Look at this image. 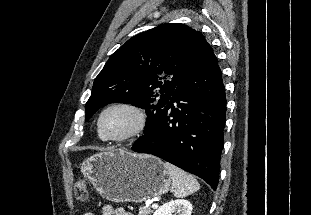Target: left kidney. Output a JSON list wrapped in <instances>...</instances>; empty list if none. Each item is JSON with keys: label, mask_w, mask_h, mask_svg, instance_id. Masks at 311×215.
I'll return each instance as SVG.
<instances>
[{"label": "left kidney", "mask_w": 311, "mask_h": 215, "mask_svg": "<svg viewBox=\"0 0 311 215\" xmlns=\"http://www.w3.org/2000/svg\"><path fill=\"white\" fill-rule=\"evenodd\" d=\"M192 205L188 200H174L163 204L153 215H191Z\"/></svg>", "instance_id": "1"}]
</instances>
